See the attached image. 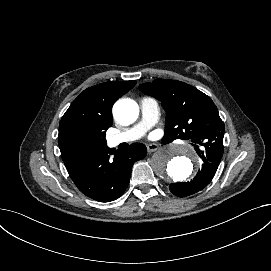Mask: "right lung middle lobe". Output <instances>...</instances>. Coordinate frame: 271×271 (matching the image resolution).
Segmentation results:
<instances>
[{
  "label": "right lung middle lobe",
  "instance_id": "obj_1",
  "mask_svg": "<svg viewBox=\"0 0 271 271\" xmlns=\"http://www.w3.org/2000/svg\"><path fill=\"white\" fill-rule=\"evenodd\" d=\"M106 130L79 128L70 135L71 144L85 156L94 155L106 145Z\"/></svg>",
  "mask_w": 271,
  "mask_h": 271
}]
</instances>
